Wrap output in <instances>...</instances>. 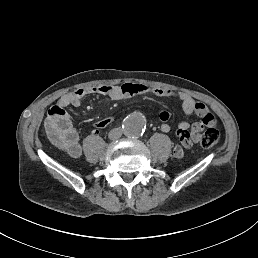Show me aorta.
Listing matches in <instances>:
<instances>
[{
	"label": "aorta",
	"mask_w": 258,
	"mask_h": 258,
	"mask_svg": "<svg viewBox=\"0 0 258 258\" xmlns=\"http://www.w3.org/2000/svg\"><path fill=\"white\" fill-rule=\"evenodd\" d=\"M146 127V119L140 112H134L123 121V132L126 136L137 138L141 136Z\"/></svg>",
	"instance_id": "1"
}]
</instances>
